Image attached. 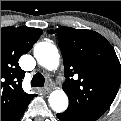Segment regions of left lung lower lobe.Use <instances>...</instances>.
I'll return each instance as SVG.
<instances>
[{"mask_svg": "<svg viewBox=\"0 0 121 121\" xmlns=\"http://www.w3.org/2000/svg\"><path fill=\"white\" fill-rule=\"evenodd\" d=\"M57 117L61 121H95L94 119L83 117L67 110L63 113L57 114Z\"/></svg>", "mask_w": 121, "mask_h": 121, "instance_id": "0a47b994", "label": "left lung lower lobe"}]
</instances>
